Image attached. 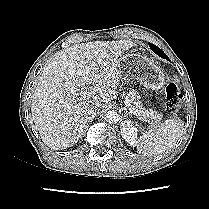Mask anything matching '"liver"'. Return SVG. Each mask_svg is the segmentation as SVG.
I'll return each mask as SVG.
<instances>
[{"instance_id": "obj_1", "label": "liver", "mask_w": 209, "mask_h": 209, "mask_svg": "<svg viewBox=\"0 0 209 209\" xmlns=\"http://www.w3.org/2000/svg\"><path fill=\"white\" fill-rule=\"evenodd\" d=\"M133 46L129 40L74 44L44 68L32 96L31 112L48 147L63 150L76 144L88 121L87 108L117 97L119 57ZM92 82L97 84L91 98L82 99L79 89Z\"/></svg>"}]
</instances>
